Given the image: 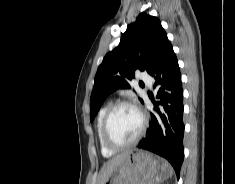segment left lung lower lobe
<instances>
[{
    "mask_svg": "<svg viewBox=\"0 0 235 184\" xmlns=\"http://www.w3.org/2000/svg\"><path fill=\"white\" fill-rule=\"evenodd\" d=\"M149 74L155 79L158 101L153 102L151 125L138 148L167 159L178 174L184 158L183 89L178 60L168 38L160 44Z\"/></svg>",
    "mask_w": 235,
    "mask_h": 184,
    "instance_id": "left-lung-lower-lobe-1",
    "label": "left lung lower lobe"
}]
</instances>
